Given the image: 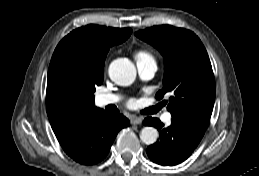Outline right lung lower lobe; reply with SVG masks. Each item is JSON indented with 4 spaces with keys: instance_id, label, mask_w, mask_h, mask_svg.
<instances>
[{
    "instance_id": "98d812e1",
    "label": "right lung lower lobe",
    "mask_w": 259,
    "mask_h": 176,
    "mask_svg": "<svg viewBox=\"0 0 259 176\" xmlns=\"http://www.w3.org/2000/svg\"><path fill=\"white\" fill-rule=\"evenodd\" d=\"M129 124L122 114L101 110L60 145L76 162L93 165L107 156L119 130Z\"/></svg>"
}]
</instances>
